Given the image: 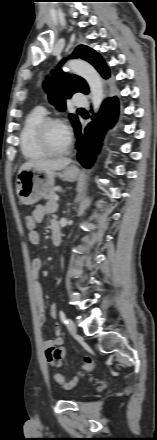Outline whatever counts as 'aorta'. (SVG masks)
<instances>
[{"mask_svg": "<svg viewBox=\"0 0 157 440\" xmlns=\"http://www.w3.org/2000/svg\"><path fill=\"white\" fill-rule=\"evenodd\" d=\"M67 68L83 77L89 85L94 112L97 113L103 100V84L99 73L89 63L83 60H73L67 63Z\"/></svg>", "mask_w": 157, "mask_h": 440, "instance_id": "1", "label": "aorta"}]
</instances>
